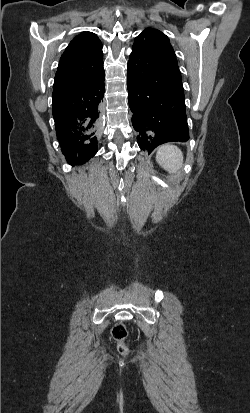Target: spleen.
Returning a JSON list of instances; mask_svg holds the SVG:
<instances>
[{
    "mask_svg": "<svg viewBox=\"0 0 250 413\" xmlns=\"http://www.w3.org/2000/svg\"><path fill=\"white\" fill-rule=\"evenodd\" d=\"M156 161L168 172L176 174L183 166V153L177 146L165 144L158 148Z\"/></svg>",
    "mask_w": 250,
    "mask_h": 413,
    "instance_id": "obj_1",
    "label": "spleen"
}]
</instances>
